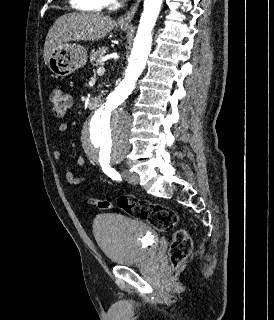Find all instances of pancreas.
<instances>
[{"label": "pancreas", "mask_w": 274, "mask_h": 320, "mask_svg": "<svg viewBox=\"0 0 274 320\" xmlns=\"http://www.w3.org/2000/svg\"><path fill=\"white\" fill-rule=\"evenodd\" d=\"M105 54H107V48L103 46V48H97V50H92L90 52V62L91 64H96V66H102L103 62H101V58H104Z\"/></svg>", "instance_id": "cf45deb5"}]
</instances>
